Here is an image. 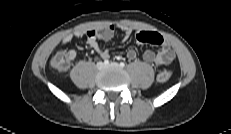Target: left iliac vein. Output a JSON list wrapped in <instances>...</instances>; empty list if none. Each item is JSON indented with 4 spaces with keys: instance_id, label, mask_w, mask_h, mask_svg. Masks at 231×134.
Returning a JSON list of instances; mask_svg holds the SVG:
<instances>
[{
    "instance_id": "1",
    "label": "left iliac vein",
    "mask_w": 231,
    "mask_h": 134,
    "mask_svg": "<svg viewBox=\"0 0 231 134\" xmlns=\"http://www.w3.org/2000/svg\"><path fill=\"white\" fill-rule=\"evenodd\" d=\"M106 67H113V68H117V67H119V64H118V63H116V62H112V63H110L109 65H107Z\"/></svg>"
}]
</instances>
